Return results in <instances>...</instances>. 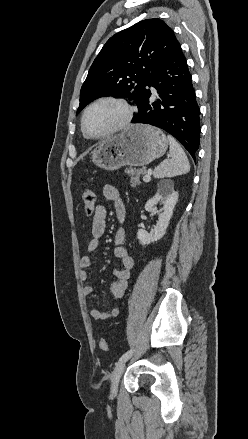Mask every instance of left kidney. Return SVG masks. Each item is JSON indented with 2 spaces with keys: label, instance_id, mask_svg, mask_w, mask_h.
<instances>
[{
  "label": "left kidney",
  "instance_id": "5707ae66",
  "mask_svg": "<svg viewBox=\"0 0 248 439\" xmlns=\"http://www.w3.org/2000/svg\"><path fill=\"white\" fill-rule=\"evenodd\" d=\"M177 201L178 193L174 191L172 186H166L163 183L158 185L155 196L150 198L145 204L146 211L159 215L158 222L150 233L143 229L138 230L137 238L141 245H149L160 240L165 235ZM158 204L163 205L160 210L157 208Z\"/></svg>",
  "mask_w": 248,
  "mask_h": 439
}]
</instances>
